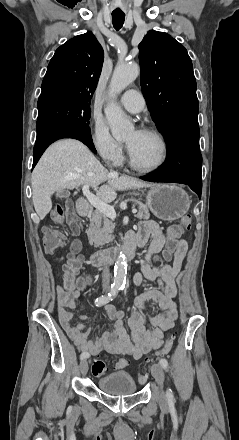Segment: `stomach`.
I'll list each match as a JSON object with an SVG mask.
<instances>
[{"mask_svg": "<svg viewBox=\"0 0 239 440\" xmlns=\"http://www.w3.org/2000/svg\"><path fill=\"white\" fill-rule=\"evenodd\" d=\"M146 204L156 218L173 222L185 216L191 200L185 190L175 184H157L147 192Z\"/></svg>", "mask_w": 239, "mask_h": 440, "instance_id": "0dacf381", "label": "stomach"}]
</instances>
